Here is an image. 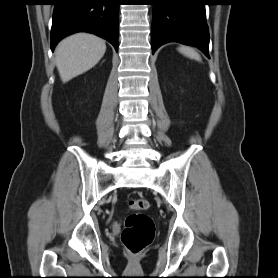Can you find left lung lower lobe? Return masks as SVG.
<instances>
[{"instance_id":"left-lung-lower-lobe-1","label":"left lung lower lobe","mask_w":278,"mask_h":278,"mask_svg":"<svg viewBox=\"0 0 278 278\" xmlns=\"http://www.w3.org/2000/svg\"><path fill=\"white\" fill-rule=\"evenodd\" d=\"M152 53L168 42L199 48L208 58L206 0H152Z\"/></svg>"}]
</instances>
